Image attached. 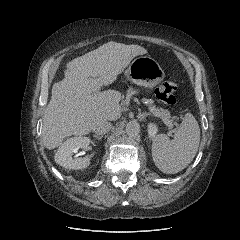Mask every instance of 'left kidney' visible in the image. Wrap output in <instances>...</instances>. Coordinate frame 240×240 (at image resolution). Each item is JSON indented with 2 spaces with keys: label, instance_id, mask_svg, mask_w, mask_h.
Returning a JSON list of instances; mask_svg holds the SVG:
<instances>
[{
  "label": "left kidney",
  "instance_id": "1",
  "mask_svg": "<svg viewBox=\"0 0 240 240\" xmlns=\"http://www.w3.org/2000/svg\"><path fill=\"white\" fill-rule=\"evenodd\" d=\"M148 135H149V138L154 140L158 135V126L157 124L155 123H149L148 126Z\"/></svg>",
  "mask_w": 240,
  "mask_h": 240
}]
</instances>
